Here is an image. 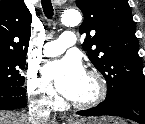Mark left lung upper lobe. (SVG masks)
Segmentation results:
<instances>
[{
	"instance_id": "5c2ea615",
	"label": "left lung upper lobe",
	"mask_w": 145,
	"mask_h": 124,
	"mask_svg": "<svg viewBox=\"0 0 145 124\" xmlns=\"http://www.w3.org/2000/svg\"><path fill=\"white\" fill-rule=\"evenodd\" d=\"M84 14L83 49L107 81L106 100L124 93L145 96L139 42L128 0H76Z\"/></svg>"
}]
</instances>
